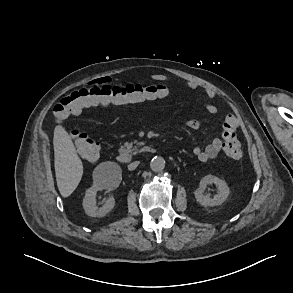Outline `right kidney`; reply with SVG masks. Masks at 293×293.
I'll return each mask as SVG.
<instances>
[{"label":"right kidney","instance_id":"1","mask_svg":"<svg viewBox=\"0 0 293 293\" xmlns=\"http://www.w3.org/2000/svg\"><path fill=\"white\" fill-rule=\"evenodd\" d=\"M107 167L110 169L111 172L117 173V179L111 180L110 176L106 177H99L94 180L93 185L87 189L85 197L83 199V208L85 213L91 217H103L107 213H109L115 206V199L113 197L108 198L104 205L98 207L96 205V194L99 190L108 189L113 190L114 188L118 187L120 178H121V171L120 167L114 163H106Z\"/></svg>","mask_w":293,"mask_h":293}]
</instances>
